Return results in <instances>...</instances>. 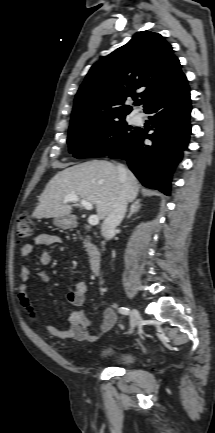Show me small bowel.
<instances>
[{"label": "small bowel", "mask_w": 215, "mask_h": 433, "mask_svg": "<svg viewBox=\"0 0 215 433\" xmlns=\"http://www.w3.org/2000/svg\"><path fill=\"white\" fill-rule=\"evenodd\" d=\"M61 242L59 236L53 233L43 232L36 236L35 244L38 246L49 247ZM33 247L26 244L21 247L20 255L29 257ZM52 254L44 251L39 256V262L42 266H48L52 262ZM21 283L18 287V300L21 307L32 318L37 319L36 311L30 301L29 289L31 281V270L28 266H23L20 270ZM49 276L41 271L37 274V282L44 285L48 282ZM87 283L84 281L77 282L75 289L67 294V301L74 307H80L84 304L87 294ZM117 322V314L111 307H106L103 311V320L100 325V333L109 331ZM47 331L54 337L60 339H72L79 342H96L99 339L98 334H92L89 331L90 322L83 311L77 309L72 311L67 317V328L60 329L51 324H44Z\"/></svg>", "instance_id": "1"}]
</instances>
